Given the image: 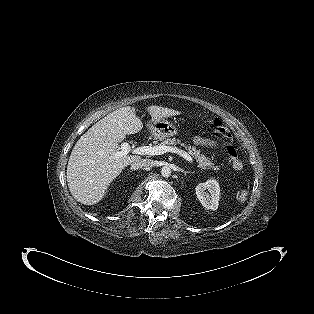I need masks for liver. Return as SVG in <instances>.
Returning <instances> with one entry per match:
<instances>
[{
	"mask_svg": "<svg viewBox=\"0 0 314 314\" xmlns=\"http://www.w3.org/2000/svg\"><path fill=\"white\" fill-rule=\"evenodd\" d=\"M152 120L180 115L174 109L150 106ZM143 125L134 107L119 108L95 123L76 142L67 165V182L71 195L84 205L103 199L110 183L137 155L116 157L118 144L126 135L138 133Z\"/></svg>",
	"mask_w": 314,
	"mask_h": 314,
	"instance_id": "6515ba94",
	"label": "liver"
}]
</instances>
